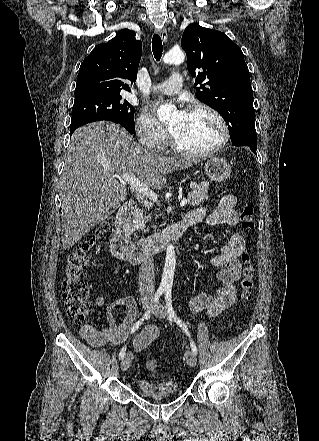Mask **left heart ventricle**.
I'll return each mask as SVG.
<instances>
[{"mask_svg": "<svg viewBox=\"0 0 319 441\" xmlns=\"http://www.w3.org/2000/svg\"><path fill=\"white\" fill-rule=\"evenodd\" d=\"M169 126L178 144L188 150H207L221 139L217 120L203 110L184 112L181 117L175 114L169 119Z\"/></svg>", "mask_w": 319, "mask_h": 441, "instance_id": "obj_1", "label": "left heart ventricle"}]
</instances>
